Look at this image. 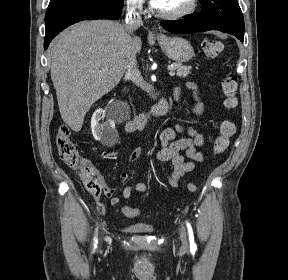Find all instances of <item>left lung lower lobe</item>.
<instances>
[{
  "label": "left lung lower lobe",
  "instance_id": "0a47b994",
  "mask_svg": "<svg viewBox=\"0 0 288 280\" xmlns=\"http://www.w3.org/2000/svg\"><path fill=\"white\" fill-rule=\"evenodd\" d=\"M161 25L168 31L181 34L219 30L236 36L242 42L244 40V32L210 19L203 13H193L184 19L176 21H162Z\"/></svg>",
  "mask_w": 288,
  "mask_h": 280
}]
</instances>
